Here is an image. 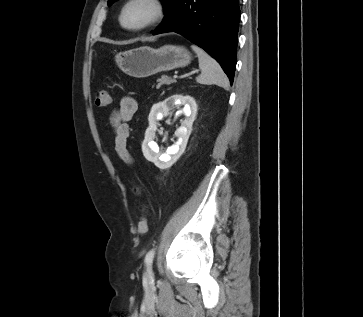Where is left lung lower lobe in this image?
<instances>
[{
	"instance_id": "1",
	"label": "left lung lower lobe",
	"mask_w": 363,
	"mask_h": 317,
	"mask_svg": "<svg viewBox=\"0 0 363 317\" xmlns=\"http://www.w3.org/2000/svg\"><path fill=\"white\" fill-rule=\"evenodd\" d=\"M153 35L176 32L205 49L233 83L236 68L239 0H172Z\"/></svg>"
}]
</instances>
